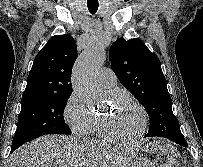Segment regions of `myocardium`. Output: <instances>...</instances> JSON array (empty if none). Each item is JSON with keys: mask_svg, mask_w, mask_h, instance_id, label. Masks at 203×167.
I'll return each mask as SVG.
<instances>
[{"mask_svg": "<svg viewBox=\"0 0 203 167\" xmlns=\"http://www.w3.org/2000/svg\"><path fill=\"white\" fill-rule=\"evenodd\" d=\"M109 95L115 99L116 98L124 99L127 102H129L130 104H132L133 106H135L141 113L142 125H141L140 130L133 137L122 138V137H118V136L114 135L110 131L106 118L99 117V125H100V130H101L102 136L111 142L119 143V144H129V143L137 142L146 133L148 123H149V117H148V113H147L145 107L140 102H138L137 100H135L134 98H132L130 95H128L127 93H125L123 91L115 90V91L110 92Z\"/></svg>", "mask_w": 203, "mask_h": 167, "instance_id": "1", "label": "myocardium"}]
</instances>
